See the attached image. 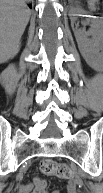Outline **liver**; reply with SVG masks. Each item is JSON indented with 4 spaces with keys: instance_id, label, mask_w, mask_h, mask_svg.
<instances>
[{
    "instance_id": "liver-1",
    "label": "liver",
    "mask_w": 103,
    "mask_h": 193,
    "mask_svg": "<svg viewBox=\"0 0 103 193\" xmlns=\"http://www.w3.org/2000/svg\"><path fill=\"white\" fill-rule=\"evenodd\" d=\"M30 19L25 0H1L0 58L6 62L17 55L20 39Z\"/></svg>"
}]
</instances>
